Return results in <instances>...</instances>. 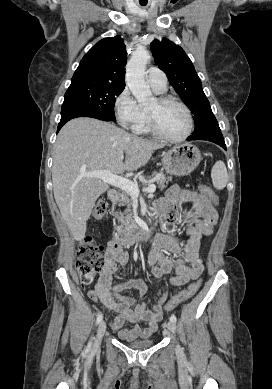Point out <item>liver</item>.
<instances>
[{"label":"liver","mask_w":272,"mask_h":389,"mask_svg":"<svg viewBox=\"0 0 272 389\" xmlns=\"http://www.w3.org/2000/svg\"><path fill=\"white\" fill-rule=\"evenodd\" d=\"M163 147L93 118H76L63 126L53 151V192L75 240L85 238L86 222L94 204L108 190L103 180L82 173L105 170L116 175L135 171Z\"/></svg>","instance_id":"6515ba94"}]
</instances>
